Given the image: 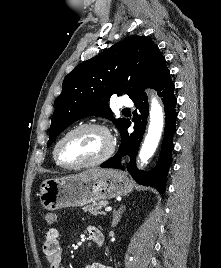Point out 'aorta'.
I'll list each match as a JSON object with an SVG mask.
<instances>
[{
  "instance_id": "762f6f07",
  "label": "aorta",
  "mask_w": 221,
  "mask_h": 268,
  "mask_svg": "<svg viewBox=\"0 0 221 268\" xmlns=\"http://www.w3.org/2000/svg\"><path fill=\"white\" fill-rule=\"evenodd\" d=\"M164 126V113L157 99L152 98L151 111H150V124L148 133L145 137L144 143L139 153L141 167L152 157L154 154L159 140L161 138Z\"/></svg>"
}]
</instances>
